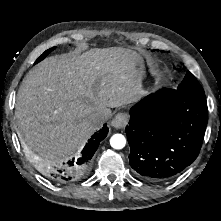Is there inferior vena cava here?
<instances>
[{
	"mask_svg": "<svg viewBox=\"0 0 221 221\" xmlns=\"http://www.w3.org/2000/svg\"><path fill=\"white\" fill-rule=\"evenodd\" d=\"M105 117L106 113L104 110H96L89 115L88 121L93 127L99 128L102 126Z\"/></svg>",
	"mask_w": 221,
	"mask_h": 221,
	"instance_id": "602c4592",
	"label": "inferior vena cava"
}]
</instances>
